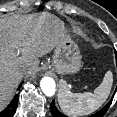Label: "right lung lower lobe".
<instances>
[{"label":"right lung lower lobe","mask_w":117,"mask_h":117,"mask_svg":"<svg viewBox=\"0 0 117 117\" xmlns=\"http://www.w3.org/2000/svg\"><path fill=\"white\" fill-rule=\"evenodd\" d=\"M21 85L19 86V88ZM18 104V95L16 94L11 101V103L4 109L2 112H0V117H12L16 111Z\"/></svg>","instance_id":"1"}]
</instances>
